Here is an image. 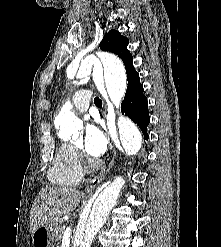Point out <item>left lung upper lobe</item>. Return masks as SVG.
Here are the masks:
<instances>
[{"label":"left lung upper lobe","mask_w":221,"mask_h":247,"mask_svg":"<svg viewBox=\"0 0 221 247\" xmlns=\"http://www.w3.org/2000/svg\"><path fill=\"white\" fill-rule=\"evenodd\" d=\"M127 45L128 38L112 29L104 35L99 47L102 51L112 52L122 59L126 68L127 80L129 84L133 78L139 77V74L134 69L133 57L127 49Z\"/></svg>","instance_id":"left-lung-upper-lobe-1"}]
</instances>
